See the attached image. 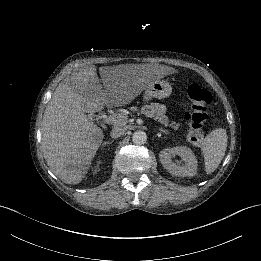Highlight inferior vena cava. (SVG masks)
<instances>
[{
    "mask_svg": "<svg viewBox=\"0 0 261 261\" xmlns=\"http://www.w3.org/2000/svg\"><path fill=\"white\" fill-rule=\"evenodd\" d=\"M125 127L122 125H116L110 132V137L112 139H117L124 135L125 133Z\"/></svg>",
    "mask_w": 261,
    "mask_h": 261,
    "instance_id": "1",
    "label": "inferior vena cava"
}]
</instances>
